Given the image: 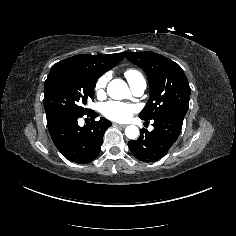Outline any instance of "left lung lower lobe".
Masks as SVG:
<instances>
[{"label": "left lung lower lobe", "mask_w": 236, "mask_h": 236, "mask_svg": "<svg viewBox=\"0 0 236 236\" xmlns=\"http://www.w3.org/2000/svg\"><path fill=\"white\" fill-rule=\"evenodd\" d=\"M185 114L174 110L152 119L151 132L144 129L137 140L128 142L133 156L143 162H155L164 157L180 135Z\"/></svg>", "instance_id": "obj_1"}]
</instances>
